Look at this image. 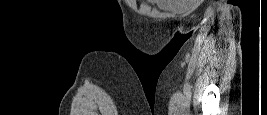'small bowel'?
<instances>
[{
  "label": "small bowel",
  "mask_w": 267,
  "mask_h": 115,
  "mask_svg": "<svg viewBox=\"0 0 267 115\" xmlns=\"http://www.w3.org/2000/svg\"><path fill=\"white\" fill-rule=\"evenodd\" d=\"M159 8L164 10L186 11L198 5L197 0H151Z\"/></svg>",
  "instance_id": "obj_1"
}]
</instances>
